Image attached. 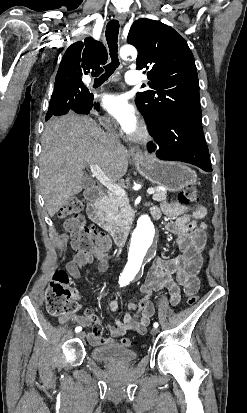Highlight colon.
<instances>
[{"mask_svg": "<svg viewBox=\"0 0 247 413\" xmlns=\"http://www.w3.org/2000/svg\"><path fill=\"white\" fill-rule=\"evenodd\" d=\"M178 201L184 204H198L199 197L194 189L185 187L179 192ZM82 207V200L73 198L67 201L60 210L62 218L65 219L64 228L71 238L72 245L78 251H90L96 248V254L99 257H106L109 254L107 237L87 224L80 214ZM71 295L67 273L57 272L46 290L45 304L48 313L51 315L72 314V307H78V304H71ZM197 298V296L196 298H188V305L194 306ZM122 344L130 347L132 342L129 338H123Z\"/></svg>", "mask_w": 247, "mask_h": 413, "instance_id": "colon-1", "label": "colon"}]
</instances>
